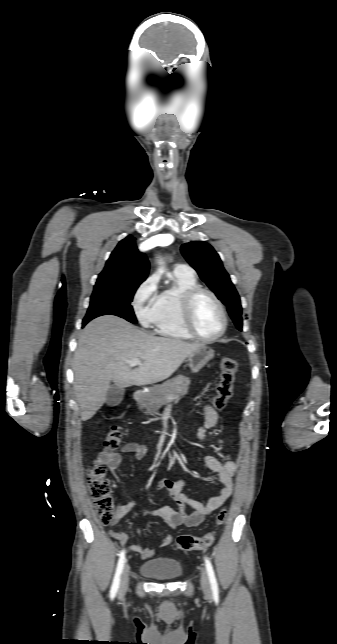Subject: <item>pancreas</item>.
Instances as JSON below:
<instances>
[{"mask_svg":"<svg viewBox=\"0 0 337 644\" xmlns=\"http://www.w3.org/2000/svg\"><path fill=\"white\" fill-rule=\"evenodd\" d=\"M189 384V378L177 376L161 385H156L150 388V392L139 401L140 407L145 408L148 414H155L166 403L178 401L180 397L185 396L188 393Z\"/></svg>","mask_w":337,"mask_h":644,"instance_id":"1","label":"pancreas"}]
</instances>
